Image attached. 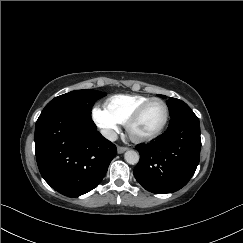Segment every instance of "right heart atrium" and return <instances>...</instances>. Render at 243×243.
<instances>
[{"instance_id":"obj_1","label":"right heart atrium","mask_w":243,"mask_h":243,"mask_svg":"<svg viewBox=\"0 0 243 243\" xmlns=\"http://www.w3.org/2000/svg\"><path fill=\"white\" fill-rule=\"evenodd\" d=\"M92 119L107 137H112L118 131L120 126V122L111 115L106 108L101 106H95L93 108Z\"/></svg>"}]
</instances>
